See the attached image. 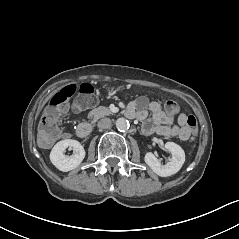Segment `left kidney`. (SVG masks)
Masks as SVG:
<instances>
[{
    "label": "left kidney",
    "instance_id": "obj_1",
    "mask_svg": "<svg viewBox=\"0 0 239 239\" xmlns=\"http://www.w3.org/2000/svg\"><path fill=\"white\" fill-rule=\"evenodd\" d=\"M165 148L171 153L172 159L164 166L161 165L154 154L147 153L145 156L147 165L155 174L161 177L176 174L185 163V152L179 145L174 142H167Z\"/></svg>",
    "mask_w": 239,
    "mask_h": 239
}]
</instances>
